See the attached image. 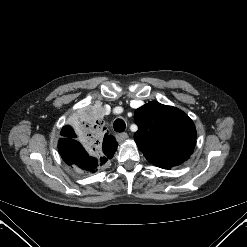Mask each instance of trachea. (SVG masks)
<instances>
[{"instance_id":"obj_1","label":"trachea","mask_w":247,"mask_h":247,"mask_svg":"<svg viewBox=\"0 0 247 247\" xmlns=\"http://www.w3.org/2000/svg\"><path fill=\"white\" fill-rule=\"evenodd\" d=\"M114 130L116 132H124L126 128V124L122 119H116L113 124Z\"/></svg>"}]
</instances>
